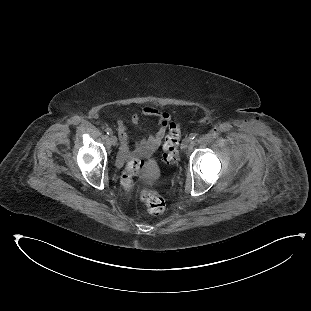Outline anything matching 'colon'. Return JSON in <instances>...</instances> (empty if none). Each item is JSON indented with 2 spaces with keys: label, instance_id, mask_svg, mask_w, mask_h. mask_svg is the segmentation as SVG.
Masks as SVG:
<instances>
[{
  "label": "colon",
  "instance_id": "5ec220e1",
  "mask_svg": "<svg viewBox=\"0 0 311 311\" xmlns=\"http://www.w3.org/2000/svg\"><path fill=\"white\" fill-rule=\"evenodd\" d=\"M181 135L180 126L177 123H170L166 132L163 144V162L167 165H172L176 161L178 143ZM144 162L142 158L135 156L131 158L129 165L122 172L121 183L126 190L133 188L132 175L134 171L142 169ZM140 197L148 211L153 214H160L164 210V201L162 197L147 186L140 187Z\"/></svg>",
  "mask_w": 311,
  "mask_h": 311
}]
</instances>
